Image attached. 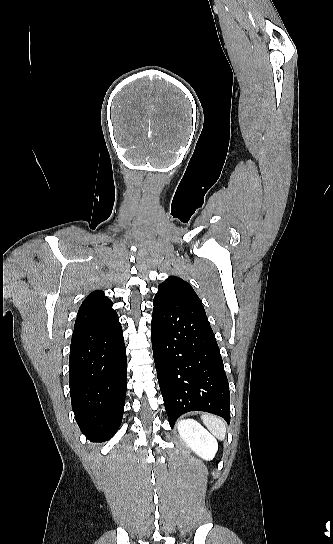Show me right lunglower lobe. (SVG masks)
Listing matches in <instances>:
<instances>
[{
  "label": "right lung lower lobe",
  "instance_id": "1",
  "mask_svg": "<svg viewBox=\"0 0 333 544\" xmlns=\"http://www.w3.org/2000/svg\"><path fill=\"white\" fill-rule=\"evenodd\" d=\"M72 409L92 442L113 437L123 417L127 359L116 313L74 327L69 357Z\"/></svg>",
  "mask_w": 333,
  "mask_h": 544
}]
</instances>
